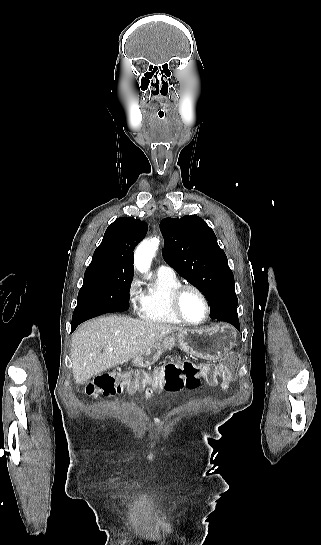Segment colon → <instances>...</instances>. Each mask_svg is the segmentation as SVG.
<instances>
[{
	"instance_id": "1",
	"label": "colon",
	"mask_w": 321,
	"mask_h": 545,
	"mask_svg": "<svg viewBox=\"0 0 321 545\" xmlns=\"http://www.w3.org/2000/svg\"><path fill=\"white\" fill-rule=\"evenodd\" d=\"M238 364L235 355L226 357L219 365H200L185 360L180 364L169 363L162 370L161 377L151 378L144 372H130L121 374L108 372L97 375L87 384L86 394L92 397H110L124 389L136 391L150 384L155 390L178 391L182 388L195 389L201 380L215 385L220 380L229 382L234 378V371Z\"/></svg>"
}]
</instances>
